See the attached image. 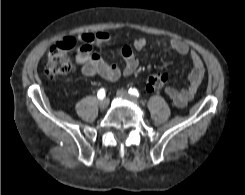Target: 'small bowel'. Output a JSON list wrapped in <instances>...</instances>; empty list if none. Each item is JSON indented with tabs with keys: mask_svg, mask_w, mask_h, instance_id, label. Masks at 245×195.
I'll return each instance as SVG.
<instances>
[{
	"mask_svg": "<svg viewBox=\"0 0 245 195\" xmlns=\"http://www.w3.org/2000/svg\"><path fill=\"white\" fill-rule=\"evenodd\" d=\"M78 40L84 43L76 56L82 73L89 77L101 76L110 81L118 80L122 75L134 74L139 65L135 51H140L148 45L145 38H138L133 41L132 46H123L120 49V56L125 65L123 69H120L117 65L105 61L93 50V45L102 46L110 40V35L107 32L82 33L78 35ZM155 45L167 46L180 55H188L191 59L192 69L188 74V86L180 90L173 87L165 89V93L177 107H185L193 99L202 82L205 74L204 63L199 54L184 41L170 39L165 42H156Z\"/></svg>",
	"mask_w": 245,
	"mask_h": 195,
	"instance_id": "1",
	"label": "small bowel"
}]
</instances>
